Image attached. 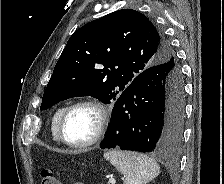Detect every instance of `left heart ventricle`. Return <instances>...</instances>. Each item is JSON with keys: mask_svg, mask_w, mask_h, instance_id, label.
<instances>
[{"mask_svg": "<svg viewBox=\"0 0 224 184\" xmlns=\"http://www.w3.org/2000/svg\"><path fill=\"white\" fill-rule=\"evenodd\" d=\"M98 120V114L93 108H75L65 121V137L73 143H82L89 140L95 133Z\"/></svg>", "mask_w": 224, "mask_h": 184, "instance_id": "1", "label": "left heart ventricle"}]
</instances>
